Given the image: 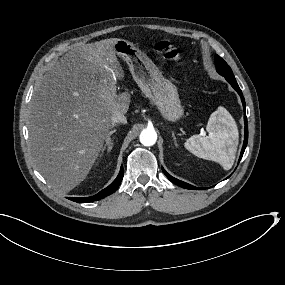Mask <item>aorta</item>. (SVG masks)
Returning a JSON list of instances; mask_svg holds the SVG:
<instances>
[{
    "label": "aorta",
    "mask_w": 285,
    "mask_h": 285,
    "mask_svg": "<svg viewBox=\"0 0 285 285\" xmlns=\"http://www.w3.org/2000/svg\"><path fill=\"white\" fill-rule=\"evenodd\" d=\"M157 140V133L153 128H146L140 134V142L144 146H152Z\"/></svg>",
    "instance_id": "obj_1"
}]
</instances>
